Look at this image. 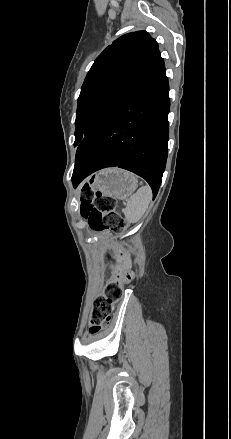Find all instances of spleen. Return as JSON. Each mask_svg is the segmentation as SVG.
Listing matches in <instances>:
<instances>
[{
	"instance_id": "3e777b00",
	"label": "spleen",
	"mask_w": 231,
	"mask_h": 439,
	"mask_svg": "<svg viewBox=\"0 0 231 439\" xmlns=\"http://www.w3.org/2000/svg\"><path fill=\"white\" fill-rule=\"evenodd\" d=\"M152 199V191L149 186H142L134 193L128 200L127 206L124 210L125 218L129 222H138Z\"/></svg>"
}]
</instances>
